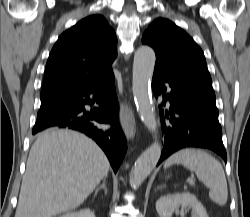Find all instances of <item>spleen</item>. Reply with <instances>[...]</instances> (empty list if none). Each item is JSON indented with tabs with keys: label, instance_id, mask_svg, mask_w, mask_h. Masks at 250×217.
<instances>
[{
	"label": "spleen",
	"instance_id": "spleen-1",
	"mask_svg": "<svg viewBox=\"0 0 250 217\" xmlns=\"http://www.w3.org/2000/svg\"><path fill=\"white\" fill-rule=\"evenodd\" d=\"M172 164H182L195 172L197 178L210 189V199L220 206L226 204L228 187L225 173L221 163L213 156L200 149L186 148L171 155L164 167Z\"/></svg>",
	"mask_w": 250,
	"mask_h": 217
}]
</instances>
